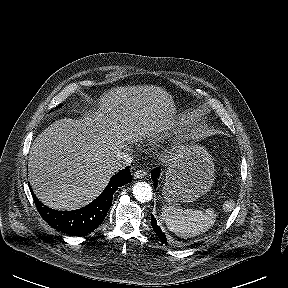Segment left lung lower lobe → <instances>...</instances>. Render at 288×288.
<instances>
[{
	"instance_id": "left-lung-lower-lobe-1",
	"label": "left lung lower lobe",
	"mask_w": 288,
	"mask_h": 288,
	"mask_svg": "<svg viewBox=\"0 0 288 288\" xmlns=\"http://www.w3.org/2000/svg\"><path fill=\"white\" fill-rule=\"evenodd\" d=\"M160 175V168H155L151 172V178L154 182V187H157V179ZM151 225L154 230V232L157 234V236L164 242L166 243V236L165 234L161 231V229L157 226L156 220L153 215H151Z\"/></svg>"
}]
</instances>
